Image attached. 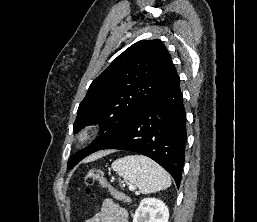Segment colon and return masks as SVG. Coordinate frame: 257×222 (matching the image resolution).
Here are the masks:
<instances>
[{"instance_id":"obj_1","label":"colon","mask_w":257,"mask_h":222,"mask_svg":"<svg viewBox=\"0 0 257 222\" xmlns=\"http://www.w3.org/2000/svg\"><path fill=\"white\" fill-rule=\"evenodd\" d=\"M86 193L92 196L91 186L98 182L102 187L108 189L110 193L120 201H127L128 197L116 187H114L106 178L104 173L99 169H90L84 175Z\"/></svg>"}]
</instances>
